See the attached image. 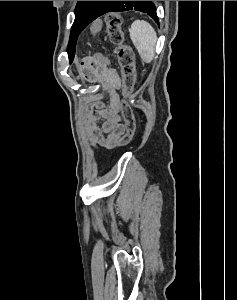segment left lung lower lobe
Returning <instances> with one entry per match:
<instances>
[{
    "label": "left lung lower lobe",
    "instance_id": "left-lung-lower-lobe-1",
    "mask_svg": "<svg viewBox=\"0 0 237 300\" xmlns=\"http://www.w3.org/2000/svg\"><path fill=\"white\" fill-rule=\"evenodd\" d=\"M111 11H117V12L124 11L123 6H121V1H109V3L102 10L100 16Z\"/></svg>",
    "mask_w": 237,
    "mask_h": 300
}]
</instances>
